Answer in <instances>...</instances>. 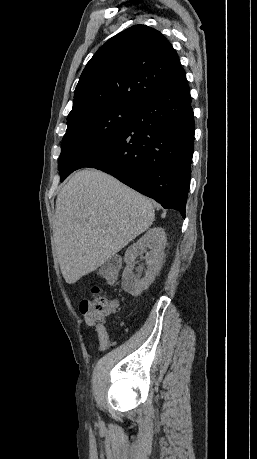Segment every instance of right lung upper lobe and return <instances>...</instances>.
<instances>
[{"label": "right lung upper lobe", "instance_id": "obj_1", "mask_svg": "<svg viewBox=\"0 0 257 459\" xmlns=\"http://www.w3.org/2000/svg\"><path fill=\"white\" fill-rule=\"evenodd\" d=\"M183 75L177 53L158 30L132 26L108 40L87 63L67 123L106 107H136Z\"/></svg>", "mask_w": 257, "mask_h": 459}]
</instances>
